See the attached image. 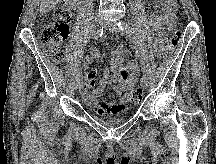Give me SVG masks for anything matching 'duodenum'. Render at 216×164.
<instances>
[{"label": "duodenum", "mask_w": 216, "mask_h": 164, "mask_svg": "<svg viewBox=\"0 0 216 164\" xmlns=\"http://www.w3.org/2000/svg\"><path fill=\"white\" fill-rule=\"evenodd\" d=\"M71 1H72V7H76L80 3V0H71Z\"/></svg>", "instance_id": "410a0bca"}]
</instances>
